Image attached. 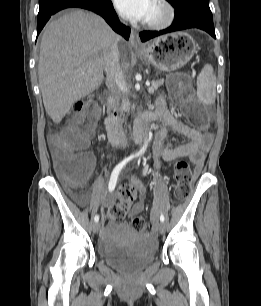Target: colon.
Returning a JSON list of instances; mask_svg holds the SVG:
<instances>
[{"mask_svg":"<svg viewBox=\"0 0 261 306\" xmlns=\"http://www.w3.org/2000/svg\"><path fill=\"white\" fill-rule=\"evenodd\" d=\"M169 90L171 99L183 107L190 123L199 127L207 124L208 117L195 106L193 90L185 77L179 75L170 77ZM97 121V106L91 102H82L75 110L70 124L56 139L58 154L61 158L59 174L68 186L81 185L89 176L90 160L82 151L94 137ZM175 180L174 196L178 201H183L190 195L193 181L191 166L187 161L180 160L176 163ZM135 196L134 187L123 184L120 187L119 201L108 209V218L115 222L123 220L129 214ZM131 226L139 234L145 236L152 234V228L141 217H134Z\"/></svg>","mask_w":261,"mask_h":306,"instance_id":"5ec220e1","label":"colon"}]
</instances>
